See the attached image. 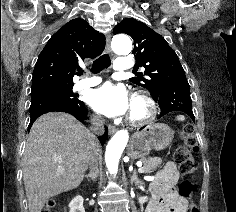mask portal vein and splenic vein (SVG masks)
<instances>
[{"instance_id":"obj_1","label":"portal vein and splenic vein","mask_w":236,"mask_h":212,"mask_svg":"<svg viewBox=\"0 0 236 212\" xmlns=\"http://www.w3.org/2000/svg\"><path fill=\"white\" fill-rule=\"evenodd\" d=\"M137 166L139 167L138 171L142 173L143 172L142 163H137ZM63 170L64 168L59 169V171H63Z\"/></svg>"}]
</instances>
